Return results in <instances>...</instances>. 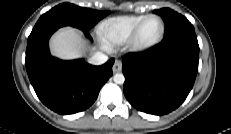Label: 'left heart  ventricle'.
<instances>
[{"instance_id": "b2bd125f", "label": "left heart ventricle", "mask_w": 231, "mask_h": 134, "mask_svg": "<svg viewBox=\"0 0 231 134\" xmlns=\"http://www.w3.org/2000/svg\"><path fill=\"white\" fill-rule=\"evenodd\" d=\"M161 30V23L158 19H150L144 26L140 39L142 42H150L154 40Z\"/></svg>"}]
</instances>
